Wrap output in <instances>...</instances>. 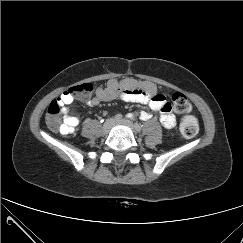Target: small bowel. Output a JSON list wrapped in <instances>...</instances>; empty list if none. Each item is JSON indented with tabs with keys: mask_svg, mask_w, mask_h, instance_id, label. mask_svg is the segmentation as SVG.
<instances>
[{
	"mask_svg": "<svg viewBox=\"0 0 243 243\" xmlns=\"http://www.w3.org/2000/svg\"><path fill=\"white\" fill-rule=\"evenodd\" d=\"M120 99L125 102L148 105L152 112L160 113V122L166 129H172L176 125V118L168 108L165 95L158 92L157 86L148 81H137L133 78L109 79L104 87L96 90L95 96L87 101L89 106H97L101 102ZM57 100L61 103L62 125L60 133L70 135L76 132L79 118L72 114L68 105L74 101V96L69 92L62 93ZM138 116L141 120L151 119L148 111L131 113V117Z\"/></svg>",
	"mask_w": 243,
	"mask_h": 243,
	"instance_id": "obj_1",
	"label": "small bowel"
}]
</instances>
